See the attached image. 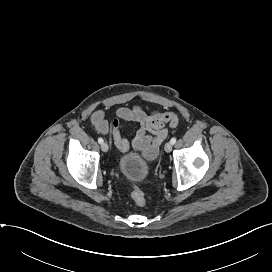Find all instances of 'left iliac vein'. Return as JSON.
Returning a JSON list of instances; mask_svg holds the SVG:
<instances>
[{"label": "left iliac vein", "mask_w": 272, "mask_h": 272, "mask_svg": "<svg viewBox=\"0 0 272 272\" xmlns=\"http://www.w3.org/2000/svg\"><path fill=\"white\" fill-rule=\"evenodd\" d=\"M164 149L166 152H171L172 150V144L170 142L166 143L164 146Z\"/></svg>", "instance_id": "4c4485c4"}]
</instances>
